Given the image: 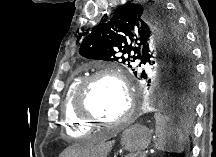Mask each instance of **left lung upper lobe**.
Masks as SVG:
<instances>
[{
  "instance_id": "obj_1",
  "label": "left lung upper lobe",
  "mask_w": 216,
  "mask_h": 157,
  "mask_svg": "<svg viewBox=\"0 0 216 157\" xmlns=\"http://www.w3.org/2000/svg\"><path fill=\"white\" fill-rule=\"evenodd\" d=\"M79 39V53L86 58L129 67L140 59V64L154 66L163 90L169 84L177 91L196 85L191 50L176 19L161 5L127 3L110 21Z\"/></svg>"
}]
</instances>
